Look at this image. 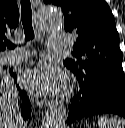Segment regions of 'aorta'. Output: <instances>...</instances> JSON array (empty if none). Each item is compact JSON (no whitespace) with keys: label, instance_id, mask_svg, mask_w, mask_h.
Here are the masks:
<instances>
[{"label":"aorta","instance_id":"aorta-1","mask_svg":"<svg viewBox=\"0 0 125 128\" xmlns=\"http://www.w3.org/2000/svg\"><path fill=\"white\" fill-rule=\"evenodd\" d=\"M36 25L45 31H56L63 26V14L60 8L45 4L36 13ZM67 110L62 102H56L47 111L41 128H65Z\"/></svg>","mask_w":125,"mask_h":128}]
</instances>
